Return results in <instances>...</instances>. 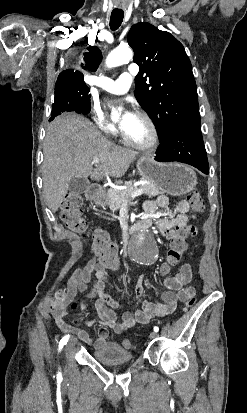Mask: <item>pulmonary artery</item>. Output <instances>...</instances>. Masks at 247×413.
<instances>
[{
  "label": "pulmonary artery",
  "instance_id": "e3ab8cb5",
  "mask_svg": "<svg viewBox=\"0 0 247 413\" xmlns=\"http://www.w3.org/2000/svg\"><path fill=\"white\" fill-rule=\"evenodd\" d=\"M133 82L134 76L128 72H123L117 79L101 77L92 80L93 84L113 94L125 93L130 89Z\"/></svg>",
  "mask_w": 247,
  "mask_h": 413
}]
</instances>
